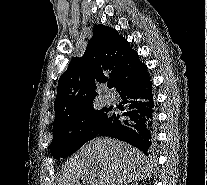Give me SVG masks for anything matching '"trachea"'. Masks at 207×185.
<instances>
[{"instance_id": "obj_1", "label": "trachea", "mask_w": 207, "mask_h": 185, "mask_svg": "<svg viewBox=\"0 0 207 185\" xmlns=\"http://www.w3.org/2000/svg\"><path fill=\"white\" fill-rule=\"evenodd\" d=\"M108 87H109V88H113V87H114V83H109V84H108Z\"/></svg>"}]
</instances>
